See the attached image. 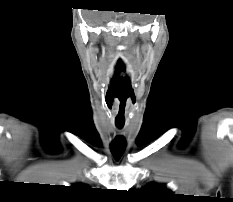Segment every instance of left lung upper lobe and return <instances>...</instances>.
Returning a JSON list of instances; mask_svg holds the SVG:
<instances>
[{
    "label": "left lung upper lobe",
    "instance_id": "1",
    "mask_svg": "<svg viewBox=\"0 0 233 202\" xmlns=\"http://www.w3.org/2000/svg\"><path fill=\"white\" fill-rule=\"evenodd\" d=\"M139 192L145 194L150 198L167 200L170 199L172 192L166 189L164 184H157V183H149L145 187H143Z\"/></svg>",
    "mask_w": 233,
    "mask_h": 202
}]
</instances>
